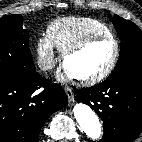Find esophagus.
I'll use <instances>...</instances> for the list:
<instances>
[{"label": "esophagus", "mask_w": 142, "mask_h": 142, "mask_svg": "<svg viewBox=\"0 0 142 142\" xmlns=\"http://www.w3.org/2000/svg\"><path fill=\"white\" fill-rule=\"evenodd\" d=\"M66 95L68 97V101L69 102H73L74 101V93L70 88H66L65 89Z\"/></svg>", "instance_id": "esophagus-1"}]
</instances>
